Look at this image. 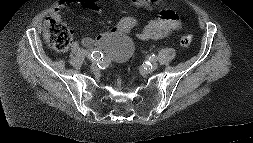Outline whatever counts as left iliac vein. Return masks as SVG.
Returning <instances> with one entry per match:
<instances>
[{"mask_svg": "<svg viewBox=\"0 0 253 143\" xmlns=\"http://www.w3.org/2000/svg\"><path fill=\"white\" fill-rule=\"evenodd\" d=\"M158 67V64L156 62H153L152 65L148 68L149 72H152L154 70H156Z\"/></svg>", "mask_w": 253, "mask_h": 143, "instance_id": "1", "label": "left iliac vein"}]
</instances>
